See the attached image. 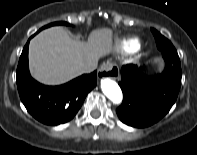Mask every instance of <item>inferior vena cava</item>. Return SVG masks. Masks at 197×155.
I'll return each mask as SVG.
<instances>
[{"label": "inferior vena cava", "mask_w": 197, "mask_h": 155, "mask_svg": "<svg viewBox=\"0 0 197 155\" xmlns=\"http://www.w3.org/2000/svg\"><path fill=\"white\" fill-rule=\"evenodd\" d=\"M97 68V63H89L82 66V73H91Z\"/></svg>", "instance_id": "obj_1"}]
</instances>
